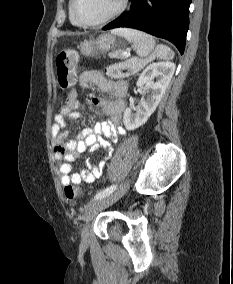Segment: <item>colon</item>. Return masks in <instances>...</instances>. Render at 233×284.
<instances>
[{
	"instance_id": "5ec220e1",
	"label": "colon",
	"mask_w": 233,
	"mask_h": 284,
	"mask_svg": "<svg viewBox=\"0 0 233 284\" xmlns=\"http://www.w3.org/2000/svg\"><path fill=\"white\" fill-rule=\"evenodd\" d=\"M172 57L173 52L168 46L158 45L149 56L144 58L135 57L113 64L106 69V73L114 79L124 78L138 72L152 60H171ZM78 61L79 55L75 50H63L57 54L55 60L56 73L62 90L71 88L77 82L76 65ZM64 194L67 199L73 200L81 195V190L75 185H68L64 188Z\"/></svg>"
}]
</instances>
